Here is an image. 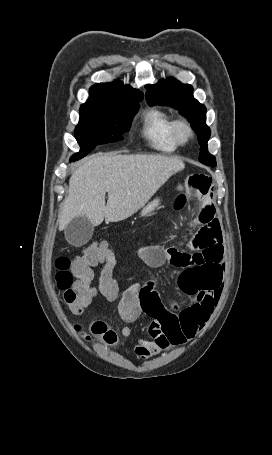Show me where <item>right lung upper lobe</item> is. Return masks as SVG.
I'll return each instance as SVG.
<instances>
[{
  "instance_id": "1",
  "label": "right lung upper lobe",
  "mask_w": 272,
  "mask_h": 455,
  "mask_svg": "<svg viewBox=\"0 0 272 455\" xmlns=\"http://www.w3.org/2000/svg\"><path fill=\"white\" fill-rule=\"evenodd\" d=\"M143 94L121 81L95 84L90 89V97L80 109L114 110L142 100Z\"/></svg>"
}]
</instances>
